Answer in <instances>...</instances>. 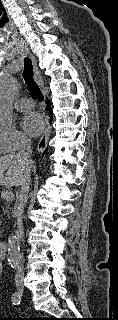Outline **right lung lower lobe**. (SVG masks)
I'll return each instance as SVG.
<instances>
[{
    "instance_id": "obj_1",
    "label": "right lung lower lobe",
    "mask_w": 118,
    "mask_h": 320,
    "mask_svg": "<svg viewBox=\"0 0 118 320\" xmlns=\"http://www.w3.org/2000/svg\"><path fill=\"white\" fill-rule=\"evenodd\" d=\"M47 106H48L49 110H51V107H50V105H49V102L47 103Z\"/></svg>"
}]
</instances>
